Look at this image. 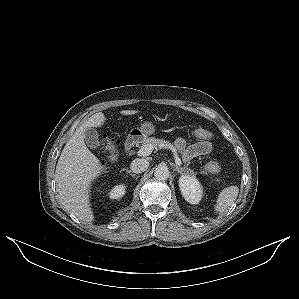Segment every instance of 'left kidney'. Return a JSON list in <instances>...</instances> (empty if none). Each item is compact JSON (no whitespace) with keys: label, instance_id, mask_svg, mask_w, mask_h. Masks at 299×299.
<instances>
[{"label":"left kidney","instance_id":"5707ae66","mask_svg":"<svg viewBox=\"0 0 299 299\" xmlns=\"http://www.w3.org/2000/svg\"><path fill=\"white\" fill-rule=\"evenodd\" d=\"M181 194L190 204H198L201 200L203 189L201 183L194 176L182 175L179 178Z\"/></svg>","mask_w":299,"mask_h":299}]
</instances>
